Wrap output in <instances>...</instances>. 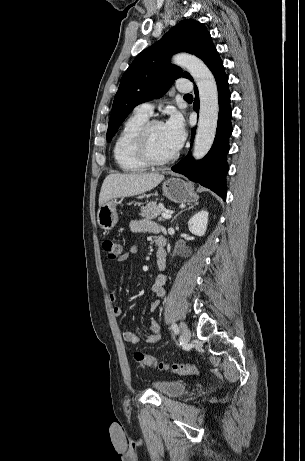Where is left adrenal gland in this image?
<instances>
[{
	"mask_svg": "<svg viewBox=\"0 0 305 461\" xmlns=\"http://www.w3.org/2000/svg\"><path fill=\"white\" fill-rule=\"evenodd\" d=\"M196 205H198V203H197V202H195V204H193V205L189 206L188 208H186V209H184V210L180 211L178 214H176V215L174 216V218L171 220V223H173V222H174V220H176V218H177V217H178L180 214H182L184 211H186V210H190V209L194 208V206H196Z\"/></svg>",
	"mask_w": 305,
	"mask_h": 461,
	"instance_id": "left-adrenal-gland-1",
	"label": "left adrenal gland"
}]
</instances>
